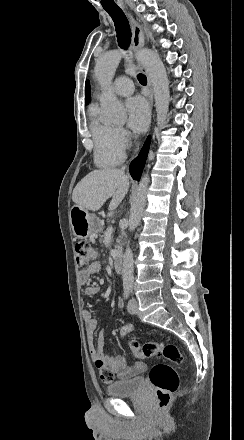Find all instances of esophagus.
<instances>
[{"label": "esophagus", "mask_w": 244, "mask_h": 440, "mask_svg": "<svg viewBox=\"0 0 244 440\" xmlns=\"http://www.w3.org/2000/svg\"><path fill=\"white\" fill-rule=\"evenodd\" d=\"M130 22H131V29H132V49L135 52L140 51L144 47V33L142 30V27L135 21V19L130 16ZM138 66L140 67L141 71L147 76L148 79V85H147V94L146 97L149 100L150 108L153 107V90H152V82L145 70V68L141 65V63L138 61Z\"/></svg>", "instance_id": "esophagus-1"}]
</instances>
